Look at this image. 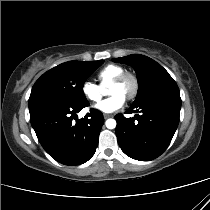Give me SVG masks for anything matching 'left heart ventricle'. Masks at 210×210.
I'll list each match as a JSON object with an SVG mask.
<instances>
[{"mask_svg": "<svg viewBox=\"0 0 210 210\" xmlns=\"http://www.w3.org/2000/svg\"><path fill=\"white\" fill-rule=\"evenodd\" d=\"M131 89H132L131 82L126 81L124 84L119 85V86H110L109 94L110 95L120 94L125 98L126 95L131 91Z\"/></svg>", "mask_w": 210, "mask_h": 210, "instance_id": "left-heart-ventricle-1", "label": "left heart ventricle"}]
</instances>
